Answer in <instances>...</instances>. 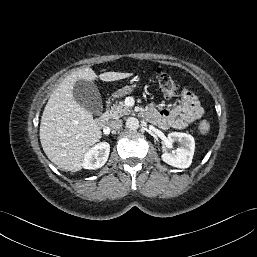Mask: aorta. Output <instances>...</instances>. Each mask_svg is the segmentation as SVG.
<instances>
[{"label":"aorta","mask_w":257,"mask_h":257,"mask_svg":"<svg viewBox=\"0 0 257 257\" xmlns=\"http://www.w3.org/2000/svg\"><path fill=\"white\" fill-rule=\"evenodd\" d=\"M126 127L129 129V130H137L139 128V121L137 118H134V117H130L127 119L126 121Z\"/></svg>","instance_id":"obj_1"}]
</instances>
